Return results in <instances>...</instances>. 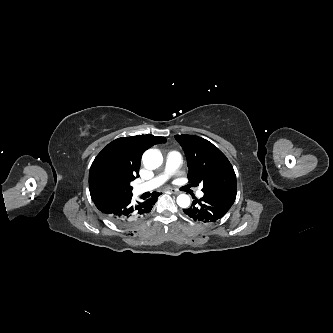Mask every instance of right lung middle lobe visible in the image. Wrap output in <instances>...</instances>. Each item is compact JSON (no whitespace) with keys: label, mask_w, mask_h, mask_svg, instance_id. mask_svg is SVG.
Returning a JSON list of instances; mask_svg holds the SVG:
<instances>
[{"label":"right lung middle lobe","mask_w":333,"mask_h":333,"mask_svg":"<svg viewBox=\"0 0 333 333\" xmlns=\"http://www.w3.org/2000/svg\"><path fill=\"white\" fill-rule=\"evenodd\" d=\"M135 179L133 175L114 165H103L96 173V181L100 189L131 193L130 183Z\"/></svg>","instance_id":"obj_1"}]
</instances>
